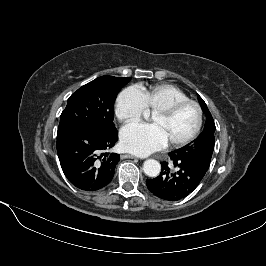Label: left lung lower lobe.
<instances>
[{"mask_svg":"<svg viewBox=\"0 0 266 266\" xmlns=\"http://www.w3.org/2000/svg\"><path fill=\"white\" fill-rule=\"evenodd\" d=\"M177 171L172 173L167 162H162V171L154 179H147L148 190L158 198L177 201L188 196L201 182L205 174L189 163L180 160L174 153H169Z\"/></svg>","mask_w":266,"mask_h":266,"instance_id":"0a47b994","label":"left lung lower lobe"}]
</instances>
